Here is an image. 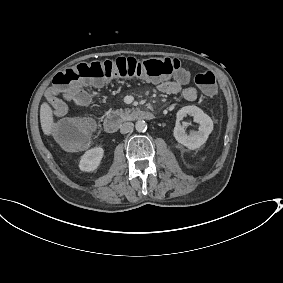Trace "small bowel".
Instances as JSON below:
<instances>
[{"mask_svg": "<svg viewBox=\"0 0 283 283\" xmlns=\"http://www.w3.org/2000/svg\"><path fill=\"white\" fill-rule=\"evenodd\" d=\"M190 74L185 69H179L172 80L155 81L158 91L165 94H181L186 100L193 101L197 98V90L189 86ZM62 91L55 85L46 91V99L50 104L53 114L56 117H63L67 114L66 102L60 98Z\"/></svg>", "mask_w": 283, "mask_h": 283, "instance_id": "1", "label": "small bowel"}]
</instances>
